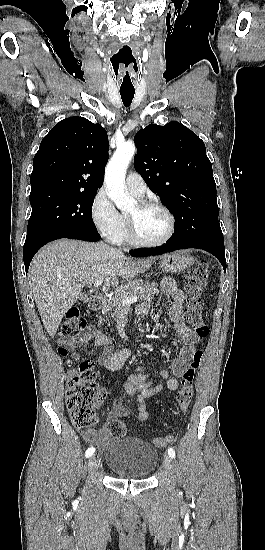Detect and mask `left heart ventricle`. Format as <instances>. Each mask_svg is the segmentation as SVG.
Masks as SVG:
<instances>
[{
	"label": "left heart ventricle",
	"mask_w": 265,
	"mask_h": 550,
	"mask_svg": "<svg viewBox=\"0 0 265 550\" xmlns=\"http://www.w3.org/2000/svg\"><path fill=\"white\" fill-rule=\"evenodd\" d=\"M129 215L134 217L138 236L142 240H160L168 231V218L159 209L151 208L147 210H139L136 205L129 212Z\"/></svg>",
	"instance_id": "b2bd125f"
}]
</instances>
